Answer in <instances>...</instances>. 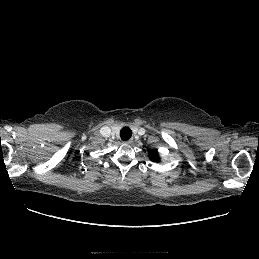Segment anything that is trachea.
<instances>
[{"label":"trachea","instance_id":"1","mask_svg":"<svg viewBox=\"0 0 259 259\" xmlns=\"http://www.w3.org/2000/svg\"><path fill=\"white\" fill-rule=\"evenodd\" d=\"M132 136V130L129 127H123L120 131V137L123 141L130 139Z\"/></svg>","mask_w":259,"mask_h":259}]
</instances>
